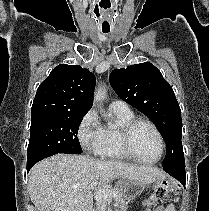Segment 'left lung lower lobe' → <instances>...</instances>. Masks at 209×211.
<instances>
[{
    "instance_id": "obj_1",
    "label": "left lung lower lobe",
    "mask_w": 209,
    "mask_h": 211,
    "mask_svg": "<svg viewBox=\"0 0 209 211\" xmlns=\"http://www.w3.org/2000/svg\"><path fill=\"white\" fill-rule=\"evenodd\" d=\"M163 169L168 174L176 178L185 187V179H186L185 165L172 168V169H166V168H163Z\"/></svg>"
}]
</instances>
